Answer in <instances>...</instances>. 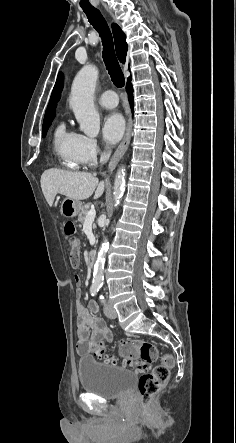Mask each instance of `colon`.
Returning <instances> with one entry per match:
<instances>
[{
	"instance_id": "obj_1",
	"label": "colon",
	"mask_w": 236,
	"mask_h": 443,
	"mask_svg": "<svg viewBox=\"0 0 236 443\" xmlns=\"http://www.w3.org/2000/svg\"><path fill=\"white\" fill-rule=\"evenodd\" d=\"M77 227L74 222L68 221L64 225V234L69 240V262L73 268L78 267L80 260V250L76 238ZM92 353L96 359L106 363H116V359L106 353L103 344H98L92 348ZM119 354L124 359L125 367L144 371L157 359L158 351L156 346L144 339H127L119 344ZM173 366V358L165 354L161 358V364L153 368L150 372L144 373L138 383V391L143 404H147L151 398L158 393L168 382L169 369Z\"/></svg>"
}]
</instances>
